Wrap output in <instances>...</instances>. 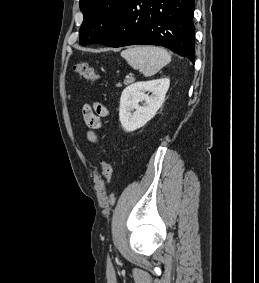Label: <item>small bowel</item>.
I'll list each match as a JSON object with an SVG mask.
<instances>
[{
	"label": "small bowel",
	"mask_w": 259,
	"mask_h": 283,
	"mask_svg": "<svg viewBox=\"0 0 259 283\" xmlns=\"http://www.w3.org/2000/svg\"><path fill=\"white\" fill-rule=\"evenodd\" d=\"M83 119L86 126L90 129L87 133V137L92 142H97V136L94 133V130L101 127L102 119L108 115L107 108L99 103L94 105H86L82 110Z\"/></svg>",
	"instance_id": "obj_1"
}]
</instances>
